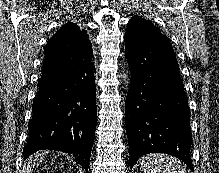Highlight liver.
<instances>
[{"label":"liver","instance_id":"6515ba94","mask_svg":"<svg viewBox=\"0 0 219 173\" xmlns=\"http://www.w3.org/2000/svg\"><path fill=\"white\" fill-rule=\"evenodd\" d=\"M43 156V153H37L32 156L27 162V170L31 171L34 166L38 165V163L41 162Z\"/></svg>","mask_w":219,"mask_h":173}]
</instances>
